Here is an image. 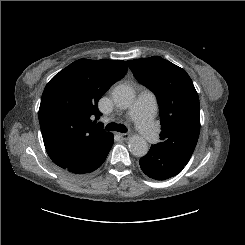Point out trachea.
I'll use <instances>...</instances> for the list:
<instances>
[{
	"instance_id": "obj_1",
	"label": "trachea",
	"mask_w": 245,
	"mask_h": 245,
	"mask_svg": "<svg viewBox=\"0 0 245 245\" xmlns=\"http://www.w3.org/2000/svg\"><path fill=\"white\" fill-rule=\"evenodd\" d=\"M106 130H109V131H118V132H121V133H126L127 132V128L123 125H120V124H116V123H109L106 125Z\"/></svg>"
}]
</instances>
